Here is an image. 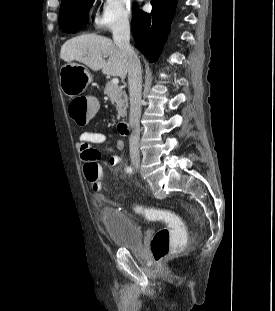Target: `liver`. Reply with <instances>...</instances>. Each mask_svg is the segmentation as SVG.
I'll list each match as a JSON object with an SVG mask.
<instances>
[{
  "label": "liver",
  "instance_id": "1",
  "mask_svg": "<svg viewBox=\"0 0 275 311\" xmlns=\"http://www.w3.org/2000/svg\"><path fill=\"white\" fill-rule=\"evenodd\" d=\"M60 57L66 62H81L93 71L102 70L103 74L119 76L122 80L128 73L127 55L111 39L96 34L67 40L61 47Z\"/></svg>",
  "mask_w": 275,
  "mask_h": 311
}]
</instances>
